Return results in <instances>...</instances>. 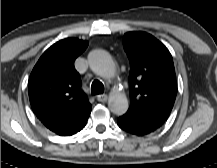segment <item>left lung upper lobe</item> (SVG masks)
<instances>
[{
  "label": "left lung upper lobe",
  "mask_w": 217,
  "mask_h": 168,
  "mask_svg": "<svg viewBox=\"0 0 217 168\" xmlns=\"http://www.w3.org/2000/svg\"><path fill=\"white\" fill-rule=\"evenodd\" d=\"M130 60L131 105L123 117L155 129L168 119L177 95V84L169 50L150 34L128 32L123 37Z\"/></svg>",
  "instance_id": "left-lung-upper-lobe-1"
}]
</instances>
